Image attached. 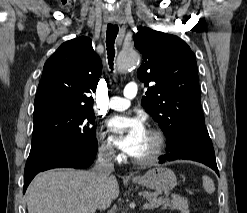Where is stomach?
I'll list each match as a JSON object with an SVG mask.
<instances>
[{
    "label": "stomach",
    "instance_id": "1",
    "mask_svg": "<svg viewBox=\"0 0 247 213\" xmlns=\"http://www.w3.org/2000/svg\"><path fill=\"white\" fill-rule=\"evenodd\" d=\"M134 182L157 192H168L176 186L177 178L171 169L158 166L148 170L143 176L134 179Z\"/></svg>",
    "mask_w": 247,
    "mask_h": 213
}]
</instances>
